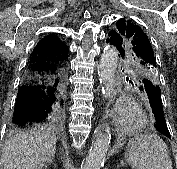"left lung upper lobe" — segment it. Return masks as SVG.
I'll list each match as a JSON object with an SVG mask.
<instances>
[{
    "mask_svg": "<svg viewBox=\"0 0 177 169\" xmlns=\"http://www.w3.org/2000/svg\"><path fill=\"white\" fill-rule=\"evenodd\" d=\"M107 42L117 47L122 58L133 60L141 74L158 85V69L150 40L142 28L124 18L116 22Z\"/></svg>",
    "mask_w": 177,
    "mask_h": 169,
    "instance_id": "1",
    "label": "left lung upper lobe"
}]
</instances>
